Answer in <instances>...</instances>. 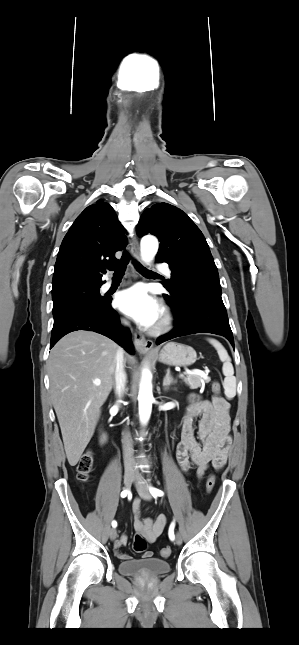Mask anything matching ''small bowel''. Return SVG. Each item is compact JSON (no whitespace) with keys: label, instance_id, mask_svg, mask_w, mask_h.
Here are the masks:
<instances>
[{"label":"small bowel","instance_id":"c3829d8e","mask_svg":"<svg viewBox=\"0 0 299 645\" xmlns=\"http://www.w3.org/2000/svg\"><path fill=\"white\" fill-rule=\"evenodd\" d=\"M229 403L220 396L211 400H203L191 396L186 413L183 417L181 439L176 449L177 462L185 473L190 466H197L196 476L202 478L208 468L213 466L221 469L227 462L231 448L232 438L230 432ZM200 417L198 426H194V419ZM133 525L138 535L147 542L154 543L163 533L167 525L165 515L156 519L141 516V503L138 498L133 500ZM127 535L122 534L116 544V555L121 560H129L130 556L121 552L120 548L126 545ZM152 556V552L144 553V558Z\"/></svg>","mask_w":299,"mask_h":645}]
</instances>
